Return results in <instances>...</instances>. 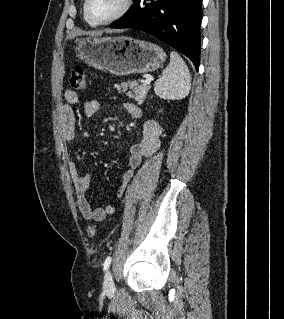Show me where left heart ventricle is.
I'll return each instance as SVG.
<instances>
[{"mask_svg": "<svg viewBox=\"0 0 284 319\" xmlns=\"http://www.w3.org/2000/svg\"><path fill=\"white\" fill-rule=\"evenodd\" d=\"M122 0H89L88 10L95 20H105L114 15Z\"/></svg>", "mask_w": 284, "mask_h": 319, "instance_id": "b2bd125f", "label": "left heart ventricle"}]
</instances>
